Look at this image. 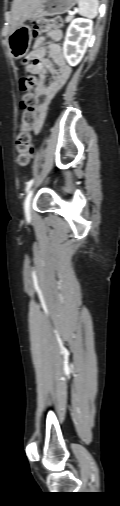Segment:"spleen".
<instances>
[{
  "instance_id": "3e777b00",
  "label": "spleen",
  "mask_w": 120,
  "mask_h": 506,
  "mask_svg": "<svg viewBox=\"0 0 120 506\" xmlns=\"http://www.w3.org/2000/svg\"><path fill=\"white\" fill-rule=\"evenodd\" d=\"M79 14L93 19L98 13V0H78Z\"/></svg>"
}]
</instances>
